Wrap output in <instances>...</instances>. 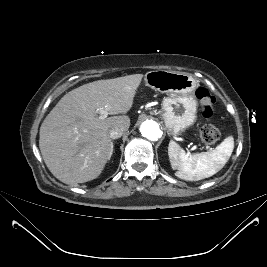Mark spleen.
I'll list each match as a JSON object with an SVG mask.
<instances>
[{
    "label": "spleen",
    "mask_w": 267,
    "mask_h": 267,
    "mask_svg": "<svg viewBox=\"0 0 267 267\" xmlns=\"http://www.w3.org/2000/svg\"><path fill=\"white\" fill-rule=\"evenodd\" d=\"M234 149V138H225L215 149L189 154L176 142L170 141L168 156L176 176L189 181H198L213 176L228 162Z\"/></svg>",
    "instance_id": "obj_1"
}]
</instances>
